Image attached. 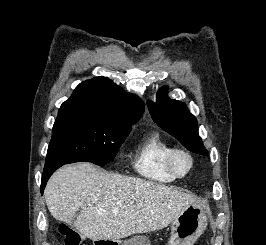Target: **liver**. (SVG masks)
Wrapping results in <instances>:
<instances>
[{
    "label": "liver",
    "mask_w": 266,
    "mask_h": 245,
    "mask_svg": "<svg viewBox=\"0 0 266 245\" xmlns=\"http://www.w3.org/2000/svg\"><path fill=\"white\" fill-rule=\"evenodd\" d=\"M44 197L54 219L92 241H117L135 233L160 231L195 203L187 193L136 177L102 173L91 163L58 169ZM77 211L80 215L73 221Z\"/></svg>",
    "instance_id": "liver-1"
}]
</instances>
